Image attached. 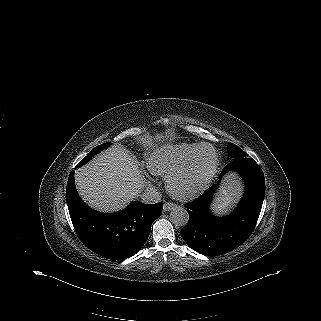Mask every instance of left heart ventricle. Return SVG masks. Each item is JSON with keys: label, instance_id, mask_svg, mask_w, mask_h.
Returning <instances> with one entry per match:
<instances>
[{"label": "left heart ventricle", "instance_id": "b2bd125f", "mask_svg": "<svg viewBox=\"0 0 321 321\" xmlns=\"http://www.w3.org/2000/svg\"><path fill=\"white\" fill-rule=\"evenodd\" d=\"M213 164V151L210 148H203L196 156L192 169L175 181V189L186 193L198 188L208 177Z\"/></svg>", "mask_w": 321, "mask_h": 321}]
</instances>
